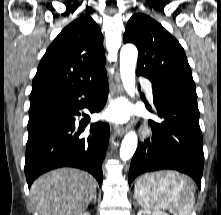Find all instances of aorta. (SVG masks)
<instances>
[{"label": "aorta", "mask_w": 221, "mask_h": 215, "mask_svg": "<svg viewBox=\"0 0 221 215\" xmlns=\"http://www.w3.org/2000/svg\"><path fill=\"white\" fill-rule=\"evenodd\" d=\"M138 58L137 48L132 44H126L120 51V75L126 92L134 97L135 95V68ZM138 138L134 131L125 135L121 148L120 158L123 161L129 160L135 153Z\"/></svg>", "instance_id": "1"}]
</instances>
